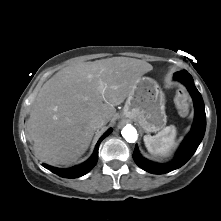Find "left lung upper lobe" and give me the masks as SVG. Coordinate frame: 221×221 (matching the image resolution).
<instances>
[{
	"label": "left lung upper lobe",
	"instance_id": "5c2ea615",
	"mask_svg": "<svg viewBox=\"0 0 221 221\" xmlns=\"http://www.w3.org/2000/svg\"><path fill=\"white\" fill-rule=\"evenodd\" d=\"M181 72H187V71H181ZM176 73H180V72H176ZM176 73H175V74H176ZM175 74H174V75H175Z\"/></svg>",
	"mask_w": 221,
	"mask_h": 221
}]
</instances>
